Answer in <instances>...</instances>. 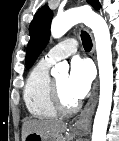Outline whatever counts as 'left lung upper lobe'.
Returning <instances> with one entry per match:
<instances>
[{
    "label": "left lung upper lobe",
    "mask_w": 119,
    "mask_h": 141,
    "mask_svg": "<svg viewBox=\"0 0 119 141\" xmlns=\"http://www.w3.org/2000/svg\"><path fill=\"white\" fill-rule=\"evenodd\" d=\"M95 9H100L98 0H87ZM53 17L48 6L41 7L35 14L29 28L30 41L27 46L25 64L30 68L42 50L46 47L50 37V25Z\"/></svg>",
    "instance_id": "1"
}]
</instances>
